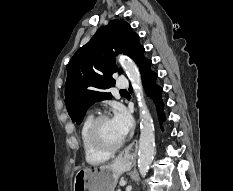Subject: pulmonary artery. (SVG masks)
Returning a JSON list of instances; mask_svg holds the SVG:
<instances>
[{"label": "pulmonary artery", "mask_w": 233, "mask_h": 191, "mask_svg": "<svg viewBox=\"0 0 233 191\" xmlns=\"http://www.w3.org/2000/svg\"><path fill=\"white\" fill-rule=\"evenodd\" d=\"M117 88L119 89H124L128 87V80L124 77V76H120L117 79V83H116Z\"/></svg>", "instance_id": "1"}]
</instances>
